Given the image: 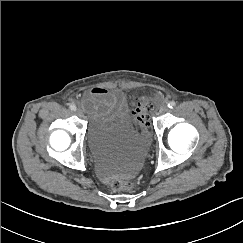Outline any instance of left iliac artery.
<instances>
[{
	"mask_svg": "<svg viewBox=\"0 0 243 243\" xmlns=\"http://www.w3.org/2000/svg\"><path fill=\"white\" fill-rule=\"evenodd\" d=\"M176 106V103L174 101H171L168 103V108L172 109Z\"/></svg>",
	"mask_w": 243,
	"mask_h": 243,
	"instance_id": "1",
	"label": "left iliac artery"
}]
</instances>
